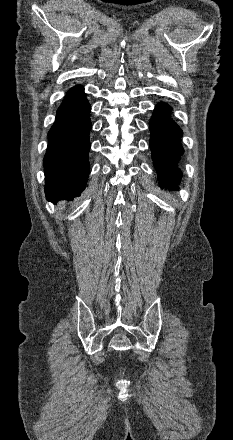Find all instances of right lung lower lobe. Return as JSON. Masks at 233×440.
I'll return each mask as SVG.
<instances>
[{
  "label": "right lung lower lobe",
  "instance_id": "98d812e1",
  "mask_svg": "<svg viewBox=\"0 0 233 440\" xmlns=\"http://www.w3.org/2000/svg\"><path fill=\"white\" fill-rule=\"evenodd\" d=\"M90 110L82 86L70 89L57 110L44 157L48 200L70 199L85 188L89 176Z\"/></svg>",
  "mask_w": 233,
  "mask_h": 440
}]
</instances>
